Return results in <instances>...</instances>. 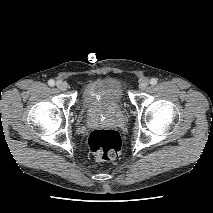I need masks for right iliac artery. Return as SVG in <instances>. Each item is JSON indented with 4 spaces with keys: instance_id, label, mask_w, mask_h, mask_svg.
Returning <instances> with one entry per match:
<instances>
[{
    "instance_id": "obj_1",
    "label": "right iliac artery",
    "mask_w": 213,
    "mask_h": 213,
    "mask_svg": "<svg viewBox=\"0 0 213 213\" xmlns=\"http://www.w3.org/2000/svg\"><path fill=\"white\" fill-rule=\"evenodd\" d=\"M48 85L51 86V87L54 86L55 85V81L53 79H50L48 81Z\"/></svg>"
}]
</instances>
